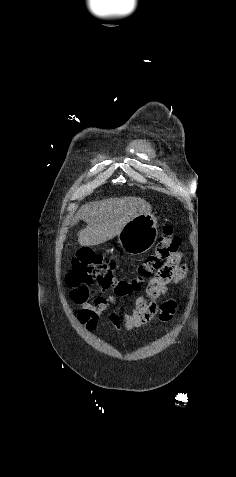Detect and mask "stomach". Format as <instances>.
Returning a JSON list of instances; mask_svg holds the SVG:
<instances>
[{"label":"stomach","instance_id":"0dacf381","mask_svg":"<svg viewBox=\"0 0 236 477\" xmlns=\"http://www.w3.org/2000/svg\"><path fill=\"white\" fill-rule=\"evenodd\" d=\"M158 237L157 220L141 214L130 220L118 234V243L130 255H140L152 248Z\"/></svg>","mask_w":236,"mask_h":477}]
</instances>
